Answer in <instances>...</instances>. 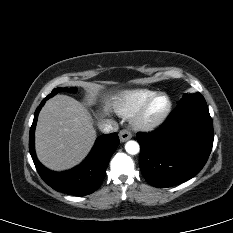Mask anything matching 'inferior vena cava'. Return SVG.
<instances>
[{"instance_id": "inferior-vena-cava-1", "label": "inferior vena cava", "mask_w": 233, "mask_h": 233, "mask_svg": "<svg viewBox=\"0 0 233 233\" xmlns=\"http://www.w3.org/2000/svg\"><path fill=\"white\" fill-rule=\"evenodd\" d=\"M99 128L103 133L117 132L118 123L114 120L107 119L106 121H104L99 125Z\"/></svg>"}]
</instances>
